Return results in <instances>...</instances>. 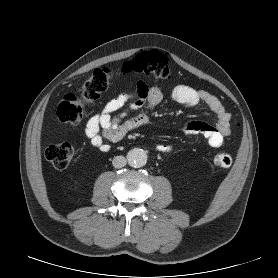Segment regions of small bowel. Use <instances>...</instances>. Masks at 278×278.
Returning a JSON list of instances; mask_svg holds the SVG:
<instances>
[{
	"mask_svg": "<svg viewBox=\"0 0 278 278\" xmlns=\"http://www.w3.org/2000/svg\"><path fill=\"white\" fill-rule=\"evenodd\" d=\"M173 101L185 107L205 104L216 117V125L191 121L183 125L186 134L201 135L213 148H219L231 134V116L221 101L206 90H197L185 84L174 86L170 92ZM164 98L162 86L149 85L139 80L134 92H123L108 101L103 109L92 115L84 129L90 145L101 152L110 150V143L121 141L129 132L149 123L150 112ZM145 107L144 112L128 117L130 111ZM160 153H171L173 147L160 143L155 146Z\"/></svg>",
	"mask_w": 278,
	"mask_h": 278,
	"instance_id": "small-bowel-1",
	"label": "small bowel"
}]
</instances>
